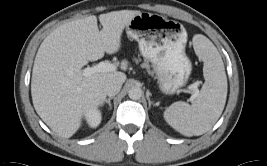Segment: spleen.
Instances as JSON below:
<instances>
[{"label":"spleen","mask_w":267,"mask_h":166,"mask_svg":"<svg viewBox=\"0 0 267 166\" xmlns=\"http://www.w3.org/2000/svg\"><path fill=\"white\" fill-rule=\"evenodd\" d=\"M194 49L204 62L205 82L191 105L178 101L164 112L167 123L184 136H199L212 128L221 116L227 97V77L217 48L203 36L194 38Z\"/></svg>","instance_id":"3e777b00"}]
</instances>
